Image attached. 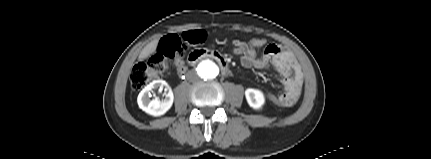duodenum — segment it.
Segmentation results:
<instances>
[{
    "label": "duodenum",
    "instance_id": "duodenum-1",
    "mask_svg": "<svg viewBox=\"0 0 431 159\" xmlns=\"http://www.w3.org/2000/svg\"><path fill=\"white\" fill-rule=\"evenodd\" d=\"M204 59H212L216 61L224 72H228L229 70L226 59L220 53L213 50H208V49H197L191 52L188 57V63L190 65H194L197 62ZM184 72H180V73H184Z\"/></svg>",
    "mask_w": 431,
    "mask_h": 159
}]
</instances>
